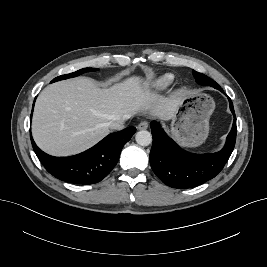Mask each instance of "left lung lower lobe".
I'll list each match as a JSON object with an SVG mask.
<instances>
[{
	"label": "left lung lower lobe",
	"mask_w": 267,
	"mask_h": 267,
	"mask_svg": "<svg viewBox=\"0 0 267 267\" xmlns=\"http://www.w3.org/2000/svg\"><path fill=\"white\" fill-rule=\"evenodd\" d=\"M215 88L223 92L220 86ZM228 99L234 115L233 126L225 146L216 153H189L169 138L158 122L150 123L153 135L150 165L166 185L179 189L196 187L214 178L223 169L234 149L237 133L233 104L229 97Z\"/></svg>",
	"instance_id": "left-lung-lower-lobe-1"
}]
</instances>
